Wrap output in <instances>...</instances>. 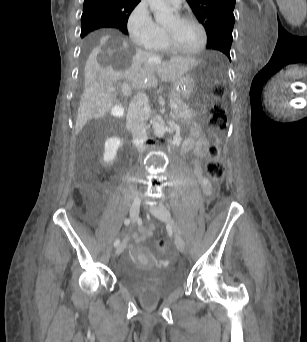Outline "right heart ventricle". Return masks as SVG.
Masks as SVG:
<instances>
[{
    "label": "right heart ventricle",
    "mask_w": 307,
    "mask_h": 342,
    "mask_svg": "<svg viewBox=\"0 0 307 342\" xmlns=\"http://www.w3.org/2000/svg\"><path fill=\"white\" fill-rule=\"evenodd\" d=\"M151 47L155 50H163L162 45H160V44H154Z\"/></svg>",
    "instance_id": "1"
}]
</instances>
